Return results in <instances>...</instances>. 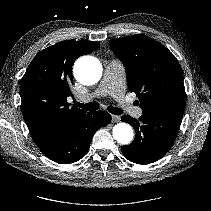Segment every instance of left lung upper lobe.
I'll use <instances>...</instances> for the list:
<instances>
[{
	"label": "left lung upper lobe",
	"mask_w": 211,
	"mask_h": 211,
	"mask_svg": "<svg viewBox=\"0 0 211 211\" xmlns=\"http://www.w3.org/2000/svg\"><path fill=\"white\" fill-rule=\"evenodd\" d=\"M109 45L125 66L128 88L143 114H184L183 73L165 46L143 35L112 39Z\"/></svg>",
	"instance_id": "left-lung-upper-lobe-1"
}]
</instances>
